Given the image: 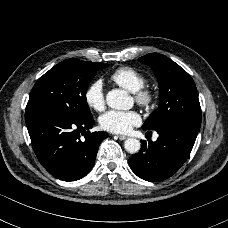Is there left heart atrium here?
Here are the masks:
<instances>
[{"label":"left heart atrium","mask_w":228,"mask_h":228,"mask_svg":"<svg viewBox=\"0 0 228 228\" xmlns=\"http://www.w3.org/2000/svg\"><path fill=\"white\" fill-rule=\"evenodd\" d=\"M141 121L139 114L135 111L109 110L100 119V126L111 133H127Z\"/></svg>","instance_id":"39dd6f15"}]
</instances>
